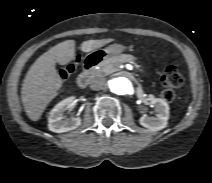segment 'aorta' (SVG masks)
<instances>
[{
	"instance_id": "1",
	"label": "aorta",
	"mask_w": 212,
	"mask_h": 183,
	"mask_svg": "<svg viewBox=\"0 0 212 183\" xmlns=\"http://www.w3.org/2000/svg\"><path fill=\"white\" fill-rule=\"evenodd\" d=\"M110 90L117 95H127L132 91V82L127 77H116L108 81Z\"/></svg>"
}]
</instances>
